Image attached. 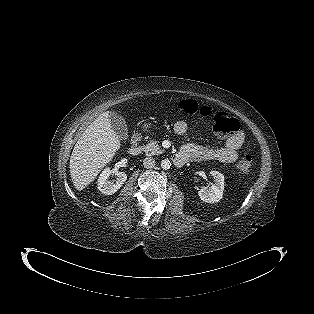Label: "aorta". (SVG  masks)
Segmentation results:
<instances>
[{"mask_svg": "<svg viewBox=\"0 0 314 314\" xmlns=\"http://www.w3.org/2000/svg\"><path fill=\"white\" fill-rule=\"evenodd\" d=\"M170 166H171L170 160L164 159V160L161 161V167H162L164 170L169 169Z\"/></svg>", "mask_w": 314, "mask_h": 314, "instance_id": "obj_1", "label": "aorta"}]
</instances>
